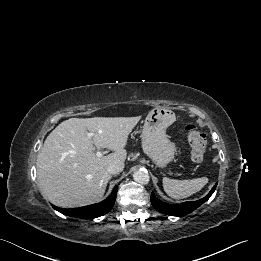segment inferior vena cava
Wrapping results in <instances>:
<instances>
[{"label":"inferior vena cava","mask_w":261,"mask_h":261,"mask_svg":"<svg viewBox=\"0 0 261 261\" xmlns=\"http://www.w3.org/2000/svg\"><path fill=\"white\" fill-rule=\"evenodd\" d=\"M123 166L119 164H112L107 168V172L110 175H116L123 171Z\"/></svg>","instance_id":"obj_1"}]
</instances>
